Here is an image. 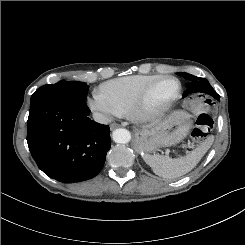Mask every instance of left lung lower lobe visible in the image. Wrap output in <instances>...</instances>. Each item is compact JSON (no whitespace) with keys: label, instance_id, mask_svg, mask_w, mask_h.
Instances as JSON below:
<instances>
[{"label":"left lung lower lobe","instance_id":"1","mask_svg":"<svg viewBox=\"0 0 245 245\" xmlns=\"http://www.w3.org/2000/svg\"><path fill=\"white\" fill-rule=\"evenodd\" d=\"M213 97H214L216 100H219V98H220V96H219L217 93L213 94Z\"/></svg>","mask_w":245,"mask_h":245}]
</instances>
